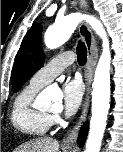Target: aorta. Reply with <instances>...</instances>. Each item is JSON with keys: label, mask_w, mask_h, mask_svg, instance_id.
I'll return each mask as SVG.
<instances>
[{"label": "aorta", "mask_w": 123, "mask_h": 152, "mask_svg": "<svg viewBox=\"0 0 123 152\" xmlns=\"http://www.w3.org/2000/svg\"><path fill=\"white\" fill-rule=\"evenodd\" d=\"M83 18L82 15L75 13L57 19L45 32L46 47L55 49L63 45ZM86 19L103 41V51L95 70L92 85V116L85 150V152H99L110 108L111 54L109 40L100 21L94 17H86ZM37 100L40 108L58 109L61 105V94L60 92L54 93L52 88H47L38 96Z\"/></svg>", "instance_id": "1"}]
</instances>
